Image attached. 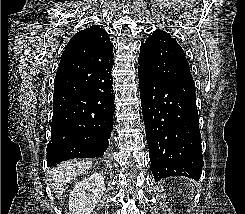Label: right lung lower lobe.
Instances as JSON below:
<instances>
[{"instance_id":"1","label":"right lung lower lobe","mask_w":245,"mask_h":214,"mask_svg":"<svg viewBox=\"0 0 245 214\" xmlns=\"http://www.w3.org/2000/svg\"><path fill=\"white\" fill-rule=\"evenodd\" d=\"M112 67H97L82 89L54 87L48 167L72 158L101 157L107 150L115 110Z\"/></svg>"}]
</instances>
